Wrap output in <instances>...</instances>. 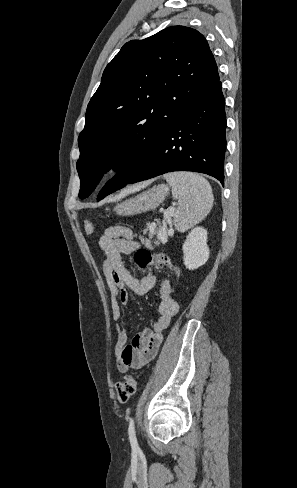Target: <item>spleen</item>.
I'll return each instance as SVG.
<instances>
[{"label": "spleen", "mask_w": 297, "mask_h": 488, "mask_svg": "<svg viewBox=\"0 0 297 488\" xmlns=\"http://www.w3.org/2000/svg\"><path fill=\"white\" fill-rule=\"evenodd\" d=\"M164 178L172 187V195L179 200L174 213V224L178 231H185L207 216L213 205V194L209 182L194 173H167Z\"/></svg>", "instance_id": "obj_1"}]
</instances>
